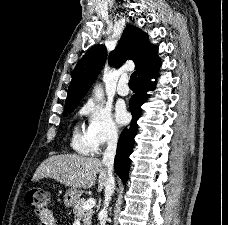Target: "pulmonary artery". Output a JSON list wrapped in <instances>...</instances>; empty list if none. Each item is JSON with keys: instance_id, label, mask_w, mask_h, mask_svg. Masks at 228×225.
Segmentation results:
<instances>
[{"instance_id": "obj_1", "label": "pulmonary artery", "mask_w": 228, "mask_h": 225, "mask_svg": "<svg viewBox=\"0 0 228 225\" xmlns=\"http://www.w3.org/2000/svg\"><path fill=\"white\" fill-rule=\"evenodd\" d=\"M129 91L126 78H123L117 86V93L122 97H126L129 94Z\"/></svg>"}]
</instances>
